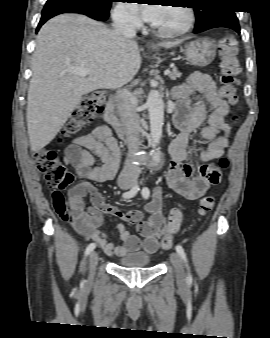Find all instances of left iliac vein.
<instances>
[{
  "label": "left iliac vein",
  "instance_id": "obj_1",
  "mask_svg": "<svg viewBox=\"0 0 270 338\" xmlns=\"http://www.w3.org/2000/svg\"><path fill=\"white\" fill-rule=\"evenodd\" d=\"M170 261L174 266L178 281L183 282L185 280V271L180 255L177 252H172L170 255Z\"/></svg>",
  "mask_w": 270,
  "mask_h": 338
}]
</instances>
